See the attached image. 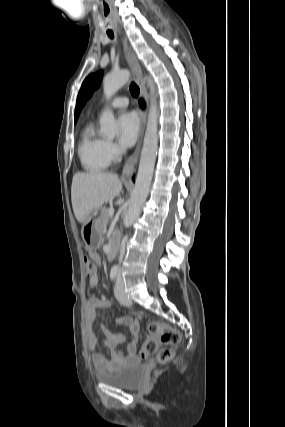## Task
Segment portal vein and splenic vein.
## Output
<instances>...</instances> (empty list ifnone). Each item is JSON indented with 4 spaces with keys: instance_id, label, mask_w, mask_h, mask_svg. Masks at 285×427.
Returning <instances> with one entry per match:
<instances>
[{
    "instance_id": "portal-vein-and-splenic-vein-1",
    "label": "portal vein and splenic vein",
    "mask_w": 285,
    "mask_h": 427,
    "mask_svg": "<svg viewBox=\"0 0 285 427\" xmlns=\"http://www.w3.org/2000/svg\"><path fill=\"white\" fill-rule=\"evenodd\" d=\"M113 214H114V209H113V208H111V209L109 210V216H110V217H112V216H113Z\"/></svg>"
}]
</instances>
